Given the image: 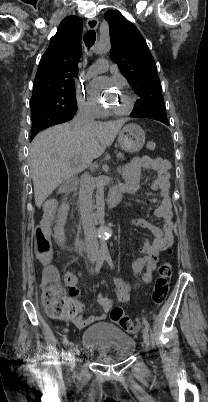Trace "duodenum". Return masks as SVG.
Here are the masks:
<instances>
[{"label":"duodenum","instance_id":"duodenum-1","mask_svg":"<svg viewBox=\"0 0 208 402\" xmlns=\"http://www.w3.org/2000/svg\"><path fill=\"white\" fill-rule=\"evenodd\" d=\"M78 181L73 179L71 181V189L73 192H77ZM126 192V188L123 185L114 186L108 195L107 203L110 207L117 205L120 201L122 194Z\"/></svg>","mask_w":208,"mask_h":402}]
</instances>
